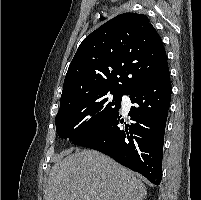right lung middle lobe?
Here are the masks:
<instances>
[{
    "label": "right lung middle lobe",
    "mask_w": 201,
    "mask_h": 200,
    "mask_svg": "<svg viewBox=\"0 0 201 200\" xmlns=\"http://www.w3.org/2000/svg\"><path fill=\"white\" fill-rule=\"evenodd\" d=\"M108 93L113 95L111 101L104 98ZM123 95L115 91H97L61 102L55 117L58 136L73 141L96 128L120 109Z\"/></svg>",
    "instance_id": "1"
}]
</instances>
